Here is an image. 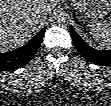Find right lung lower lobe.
<instances>
[{
    "label": "right lung lower lobe",
    "mask_w": 111,
    "mask_h": 106,
    "mask_svg": "<svg viewBox=\"0 0 111 106\" xmlns=\"http://www.w3.org/2000/svg\"><path fill=\"white\" fill-rule=\"evenodd\" d=\"M46 27L26 45L6 53H0V71L14 70L27 64L38 50Z\"/></svg>",
    "instance_id": "1"
}]
</instances>
